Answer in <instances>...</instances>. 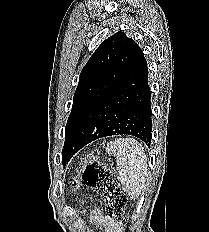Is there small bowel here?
I'll list each match as a JSON object with an SVG mask.
<instances>
[{
    "label": "small bowel",
    "instance_id": "1",
    "mask_svg": "<svg viewBox=\"0 0 209 232\" xmlns=\"http://www.w3.org/2000/svg\"><path fill=\"white\" fill-rule=\"evenodd\" d=\"M91 222L104 227L105 232H118L119 224L105 215L100 210H95L90 216Z\"/></svg>",
    "mask_w": 209,
    "mask_h": 232
}]
</instances>
